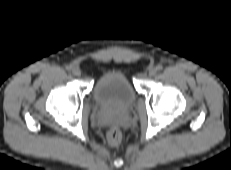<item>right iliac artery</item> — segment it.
Masks as SVG:
<instances>
[{"label":"right iliac artery","instance_id":"right-iliac-artery-1","mask_svg":"<svg viewBox=\"0 0 231 170\" xmlns=\"http://www.w3.org/2000/svg\"><path fill=\"white\" fill-rule=\"evenodd\" d=\"M72 67L70 65L66 66V70L71 71Z\"/></svg>","mask_w":231,"mask_h":170}]
</instances>
